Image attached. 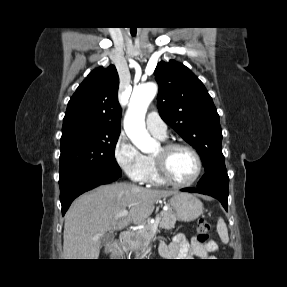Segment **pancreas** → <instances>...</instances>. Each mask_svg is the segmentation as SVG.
<instances>
[{
    "label": "pancreas",
    "instance_id": "obj_1",
    "mask_svg": "<svg viewBox=\"0 0 287 287\" xmlns=\"http://www.w3.org/2000/svg\"><path fill=\"white\" fill-rule=\"evenodd\" d=\"M158 217L161 218L159 222V228L165 230H172L175 227L176 216L174 215L171 209L163 210L158 214ZM153 224L148 220L145 224V227L137 232V237L142 240L141 249L144 250L150 240L153 239L154 234L152 232Z\"/></svg>",
    "mask_w": 287,
    "mask_h": 287
}]
</instances>
